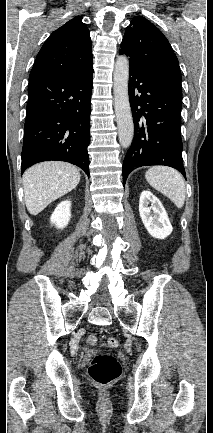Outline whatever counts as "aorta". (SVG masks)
Instances as JSON below:
<instances>
[{"label": "aorta", "instance_id": "1", "mask_svg": "<svg viewBox=\"0 0 213 433\" xmlns=\"http://www.w3.org/2000/svg\"><path fill=\"white\" fill-rule=\"evenodd\" d=\"M129 61L119 56L113 73L114 109L118 127L119 142L123 148L131 145L134 136V123L128 95Z\"/></svg>", "mask_w": 213, "mask_h": 433}]
</instances>
